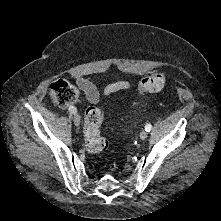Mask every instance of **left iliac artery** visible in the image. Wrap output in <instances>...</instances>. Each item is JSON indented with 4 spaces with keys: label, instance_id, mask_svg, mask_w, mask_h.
I'll return each instance as SVG.
<instances>
[{
    "label": "left iliac artery",
    "instance_id": "1",
    "mask_svg": "<svg viewBox=\"0 0 221 221\" xmlns=\"http://www.w3.org/2000/svg\"><path fill=\"white\" fill-rule=\"evenodd\" d=\"M151 129H152L151 124H147V125L145 126V130H146L147 132H150Z\"/></svg>",
    "mask_w": 221,
    "mask_h": 221
}]
</instances>
